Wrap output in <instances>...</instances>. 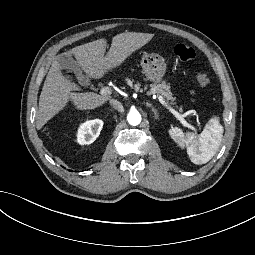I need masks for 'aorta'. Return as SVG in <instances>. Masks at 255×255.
<instances>
[{
    "mask_svg": "<svg viewBox=\"0 0 255 255\" xmlns=\"http://www.w3.org/2000/svg\"><path fill=\"white\" fill-rule=\"evenodd\" d=\"M127 120L130 125L136 126L141 122V115L138 111H130L127 115Z\"/></svg>",
    "mask_w": 255,
    "mask_h": 255,
    "instance_id": "aorta-1",
    "label": "aorta"
}]
</instances>
